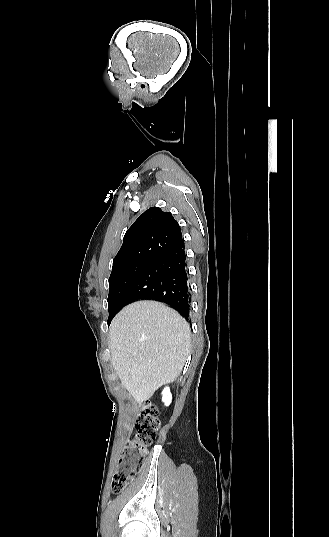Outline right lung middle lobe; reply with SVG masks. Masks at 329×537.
<instances>
[{"label": "right lung middle lobe", "instance_id": "1", "mask_svg": "<svg viewBox=\"0 0 329 537\" xmlns=\"http://www.w3.org/2000/svg\"><path fill=\"white\" fill-rule=\"evenodd\" d=\"M150 263L148 260H136L112 270L109 278L108 322L119 311L124 293Z\"/></svg>", "mask_w": 329, "mask_h": 537}]
</instances>
